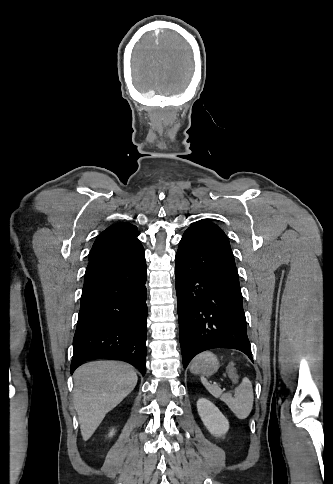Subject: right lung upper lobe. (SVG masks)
<instances>
[{"label": "right lung upper lobe", "mask_w": 333, "mask_h": 484, "mask_svg": "<svg viewBox=\"0 0 333 484\" xmlns=\"http://www.w3.org/2000/svg\"><path fill=\"white\" fill-rule=\"evenodd\" d=\"M138 235L137 227L130 223L113 224L96 238L88 259L129 253L142 246Z\"/></svg>", "instance_id": "obj_1"}]
</instances>
